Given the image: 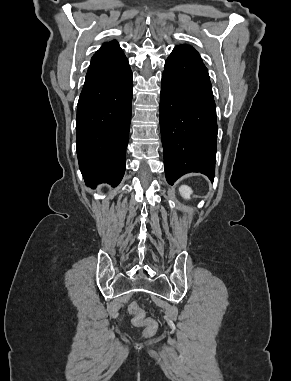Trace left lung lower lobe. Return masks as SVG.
<instances>
[{
	"mask_svg": "<svg viewBox=\"0 0 291 381\" xmlns=\"http://www.w3.org/2000/svg\"><path fill=\"white\" fill-rule=\"evenodd\" d=\"M160 129L169 184L189 172H200L213 181L218 127L208 70L197 57L177 47L162 75Z\"/></svg>",
	"mask_w": 291,
	"mask_h": 381,
	"instance_id": "obj_1",
	"label": "left lung lower lobe"
}]
</instances>
